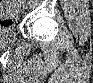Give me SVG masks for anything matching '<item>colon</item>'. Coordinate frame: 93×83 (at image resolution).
<instances>
[{
  "label": "colon",
  "instance_id": "obj_1",
  "mask_svg": "<svg viewBox=\"0 0 93 83\" xmlns=\"http://www.w3.org/2000/svg\"><path fill=\"white\" fill-rule=\"evenodd\" d=\"M12 3L11 1H5L3 3L1 12H0V17H1V24L3 25H8L12 23L14 19V14L17 12V9L14 7H7L6 4Z\"/></svg>",
  "mask_w": 93,
  "mask_h": 83
}]
</instances>
